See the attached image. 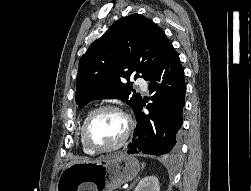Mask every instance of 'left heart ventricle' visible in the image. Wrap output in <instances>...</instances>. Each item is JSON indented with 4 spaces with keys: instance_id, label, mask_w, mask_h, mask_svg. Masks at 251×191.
Masks as SVG:
<instances>
[{
    "instance_id": "b2bd125f",
    "label": "left heart ventricle",
    "mask_w": 251,
    "mask_h": 191,
    "mask_svg": "<svg viewBox=\"0 0 251 191\" xmlns=\"http://www.w3.org/2000/svg\"><path fill=\"white\" fill-rule=\"evenodd\" d=\"M124 122L114 111L96 114L88 127V139L97 148H106L118 143L123 135Z\"/></svg>"
}]
</instances>
